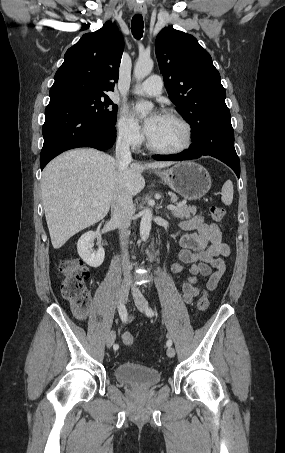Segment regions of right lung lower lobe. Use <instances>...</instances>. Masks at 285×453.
<instances>
[{
    "instance_id": "right-lung-lower-lobe-1",
    "label": "right lung lower lobe",
    "mask_w": 285,
    "mask_h": 453,
    "mask_svg": "<svg viewBox=\"0 0 285 453\" xmlns=\"http://www.w3.org/2000/svg\"><path fill=\"white\" fill-rule=\"evenodd\" d=\"M42 131L44 144L40 155L41 170L66 150L79 147L107 150L116 139L115 127L97 125L77 106L61 98L50 99Z\"/></svg>"
}]
</instances>
